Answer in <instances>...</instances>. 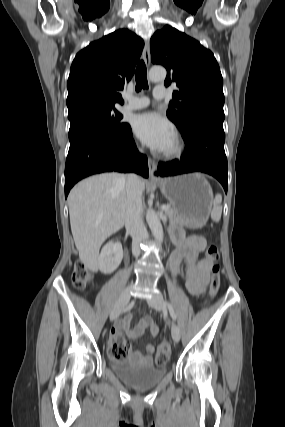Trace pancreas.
Wrapping results in <instances>:
<instances>
[{
	"instance_id": "pancreas-1",
	"label": "pancreas",
	"mask_w": 285,
	"mask_h": 427,
	"mask_svg": "<svg viewBox=\"0 0 285 427\" xmlns=\"http://www.w3.org/2000/svg\"><path fill=\"white\" fill-rule=\"evenodd\" d=\"M165 212H166V215L168 216L171 223H176V224L181 225L182 219L179 216L178 212L173 207H170L169 210H167Z\"/></svg>"
}]
</instances>
